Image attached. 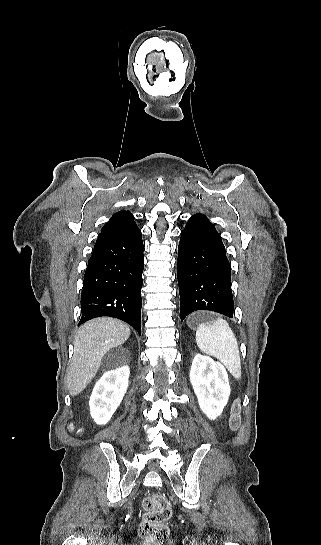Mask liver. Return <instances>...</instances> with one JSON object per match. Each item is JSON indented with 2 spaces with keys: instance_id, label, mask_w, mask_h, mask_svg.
<instances>
[{
  "instance_id": "6515ba94",
  "label": "liver",
  "mask_w": 321,
  "mask_h": 545,
  "mask_svg": "<svg viewBox=\"0 0 321 545\" xmlns=\"http://www.w3.org/2000/svg\"><path fill=\"white\" fill-rule=\"evenodd\" d=\"M130 329L109 317H99L80 327L74 341V355L66 379L71 397L79 395L94 379L107 351L123 345Z\"/></svg>"
}]
</instances>
